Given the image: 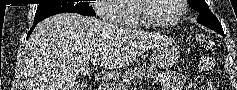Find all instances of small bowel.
I'll list each match as a JSON object with an SVG mask.
<instances>
[{
  "mask_svg": "<svg viewBox=\"0 0 237 90\" xmlns=\"http://www.w3.org/2000/svg\"><path fill=\"white\" fill-rule=\"evenodd\" d=\"M201 70L210 72L212 65L210 63L201 64ZM157 83L162 90H188L185 87V78L182 74L174 71H162L157 77ZM208 90H213L212 85L208 84Z\"/></svg>",
  "mask_w": 237,
  "mask_h": 90,
  "instance_id": "c3829d8e",
  "label": "small bowel"
}]
</instances>
